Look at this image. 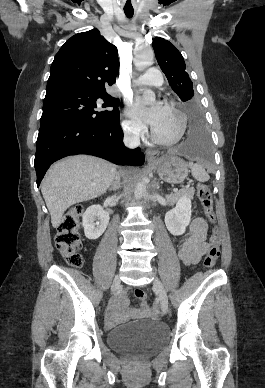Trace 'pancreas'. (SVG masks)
I'll return each mask as SVG.
<instances>
[{"mask_svg":"<svg viewBox=\"0 0 265 388\" xmlns=\"http://www.w3.org/2000/svg\"><path fill=\"white\" fill-rule=\"evenodd\" d=\"M194 192V188H185V190H179V192H176V194H170V196H166V200L169 202V204H175L176 200L181 198V196H188V198H192V196H194Z\"/></svg>","mask_w":265,"mask_h":388,"instance_id":"1","label":"pancreas"}]
</instances>
